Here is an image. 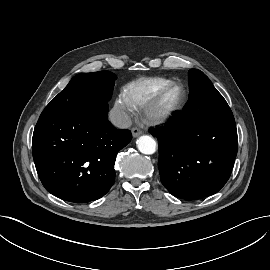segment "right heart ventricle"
Here are the masks:
<instances>
[{
  "label": "right heart ventricle",
  "instance_id": "obj_1",
  "mask_svg": "<svg viewBox=\"0 0 270 270\" xmlns=\"http://www.w3.org/2000/svg\"><path fill=\"white\" fill-rule=\"evenodd\" d=\"M172 82L163 77L139 78L124 87V95L134 109H142L158 92Z\"/></svg>",
  "mask_w": 270,
  "mask_h": 270
}]
</instances>
